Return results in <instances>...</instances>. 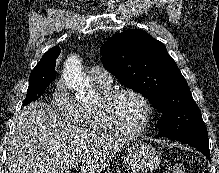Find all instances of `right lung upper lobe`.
Instances as JSON below:
<instances>
[{
	"mask_svg": "<svg viewBox=\"0 0 219 173\" xmlns=\"http://www.w3.org/2000/svg\"><path fill=\"white\" fill-rule=\"evenodd\" d=\"M61 50L58 46L49 49L41 58L40 62L32 70L33 72L43 70L45 73H50L56 75L55 61L59 56Z\"/></svg>",
	"mask_w": 219,
	"mask_h": 173,
	"instance_id": "cb5924a9",
	"label": "right lung upper lobe"
}]
</instances>
